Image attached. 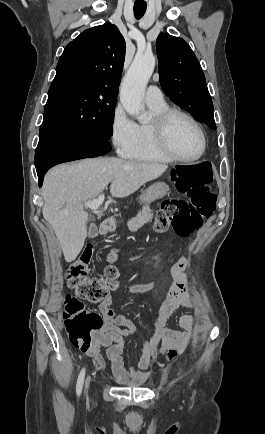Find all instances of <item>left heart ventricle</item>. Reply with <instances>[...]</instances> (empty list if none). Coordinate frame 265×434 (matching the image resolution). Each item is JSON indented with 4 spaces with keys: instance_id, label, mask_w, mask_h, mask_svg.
<instances>
[{
    "instance_id": "left-heart-ventricle-1",
    "label": "left heart ventricle",
    "mask_w": 265,
    "mask_h": 434,
    "mask_svg": "<svg viewBox=\"0 0 265 434\" xmlns=\"http://www.w3.org/2000/svg\"><path fill=\"white\" fill-rule=\"evenodd\" d=\"M170 141L183 158H193L202 148L201 138L195 127L186 119L176 117L171 124Z\"/></svg>"
}]
</instances>
